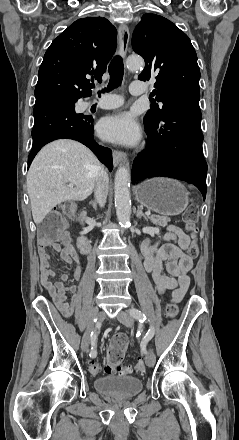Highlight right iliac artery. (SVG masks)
I'll return each mask as SVG.
<instances>
[{"label":"right iliac artery","mask_w":239,"mask_h":440,"mask_svg":"<svg viewBox=\"0 0 239 440\" xmlns=\"http://www.w3.org/2000/svg\"><path fill=\"white\" fill-rule=\"evenodd\" d=\"M94 321L97 322V318ZM90 336H91L92 347H91V351H90L89 355L91 358H95L97 356V351L95 349V343H96V339H97L96 331H92Z\"/></svg>","instance_id":"right-iliac-artery-1"}]
</instances>
